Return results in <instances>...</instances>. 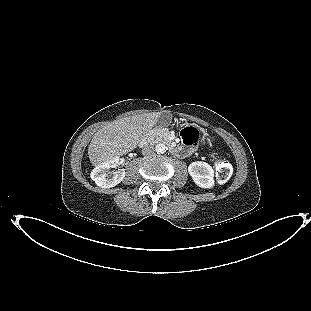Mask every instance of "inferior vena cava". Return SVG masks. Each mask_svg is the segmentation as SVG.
Wrapping results in <instances>:
<instances>
[{
	"label": "inferior vena cava",
	"mask_w": 311,
	"mask_h": 311,
	"mask_svg": "<svg viewBox=\"0 0 311 311\" xmlns=\"http://www.w3.org/2000/svg\"><path fill=\"white\" fill-rule=\"evenodd\" d=\"M155 151L154 147L151 145H147L142 149V154L143 155H151Z\"/></svg>",
	"instance_id": "602c4592"
}]
</instances>
